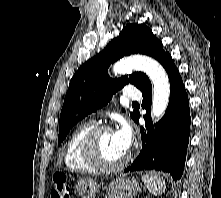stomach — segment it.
I'll list each match as a JSON object with an SVG mask.
<instances>
[{
    "mask_svg": "<svg viewBox=\"0 0 221 198\" xmlns=\"http://www.w3.org/2000/svg\"><path fill=\"white\" fill-rule=\"evenodd\" d=\"M100 185L93 179H82L76 185V191L81 198H95ZM141 186L134 178L118 177L106 187V198H133Z\"/></svg>",
    "mask_w": 221,
    "mask_h": 198,
    "instance_id": "0dacf381",
    "label": "stomach"
}]
</instances>
